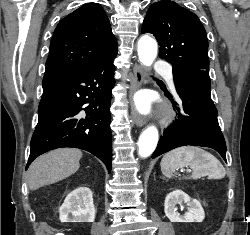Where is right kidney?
<instances>
[{
	"mask_svg": "<svg viewBox=\"0 0 250 235\" xmlns=\"http://www.w3.org/2000/svg\"><path fill=\"white\" fill-rule=\"evenodd\" d=\"M92 196L88 187L70 192L59 209L61 222H94L96 210Z\"/></svg>",
	"mask_w": 250,
	"mask_h": 235,
	"instance_id": "obj_1",
	"label": "right kidney"
}]
</instances>
